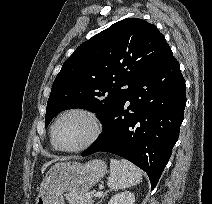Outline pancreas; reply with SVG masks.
<instances>
[{"mask_svg": "<svg viewBox=\"0 0 212 204\" xmlns=\"http://www.w3.org/2000/svg\"><path fill=\"white\" fill-rule=\"evenodd\" d=\"M95 192L91 191L86 194H77L69 192L65 194L66 200L69 204H93L94 200L92 199Z\"/></svg>", "mask_w": 212, "mask_h": 204, "instance_id": "1", "label": "pancreas"}]
</instances>
